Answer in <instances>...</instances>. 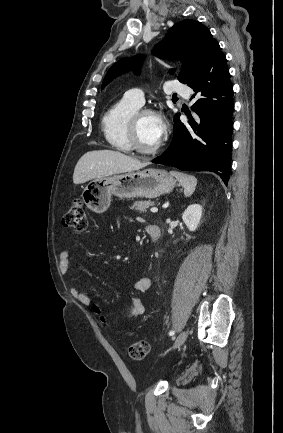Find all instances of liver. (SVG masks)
Returning <instances> with one entry per match:
<instances>
[{
  "label": "liver",
  "mask_w": 283,
  "mask_h": 433,
  "mask_svg": "<svg viewBox=\"0 0 283 433\" xmlns=\"http://www.w3.org/2000/svg\"><path fill=\"white\" fill-rule=\"evenodd\" d=\"M149 162H140L138 158L127 156L117 150H89L79 158L73 172L74 184L87 182L92 178L118 174V172H130L147 166Z\"/></svg>",
  "instance_id": "liver-1"
}]
</instances>
